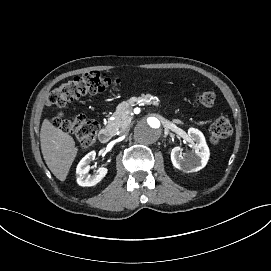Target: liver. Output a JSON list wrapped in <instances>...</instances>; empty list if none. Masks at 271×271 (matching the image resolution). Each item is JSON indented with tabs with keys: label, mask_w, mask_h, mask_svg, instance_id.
Returning a JSON list of instances; mask_svg holds the SVG:
<instances>
[{
	"label": "liver",
	"mask_w": 271,
	"mask_h": 271,
	"mask_svg": "<svg viewBox=\"0 0 271 271\" xmlns=\"http://www.w3.org/2000/svg\"><path fill=\"white\" fill-rule=\"evenodd\" d=\"M40 142L48 168L57 179L65 181L78 151L73 138L45 119L41 126Z\"/></svg>",
	"instance_id": "obj_1"
}]
</instances>
